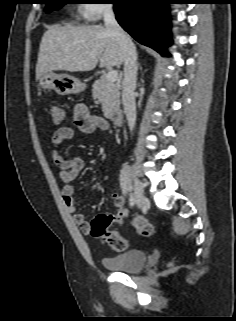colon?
<instances>
[{
	"mask_svg": "<svg viewBox=\"0 0 236 321\" xmlns=\"http://www.w3.org/2000/svg\"><path fill=\"white\" fill-rule=\"evenodd\" d=\"M50 114L54 125H60L65 119L64 110L57 105L50 107ZM129 215L126 209H120L114 214H99L89 223L87 233L95 238H102L115 251H124L128 245L126 239L118 231L110 229V226L115 222H121ZM130 221L139 235L147 237L153 233L152 223L144 216H132Z\"/></svg>",
	"mask_w": 236,
	"mask_h": 321,
	"instance_id": "1",
	"label": "colon"
}]
</instances>
